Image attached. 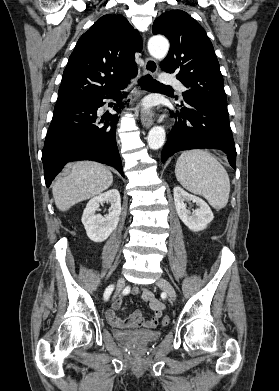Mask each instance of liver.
I'll list each match as a JSON object with an SVG mask.
<instances>
[{
	"mask_svg": "<svg viewBox=\"0 0 279 391\" xmlns=\"http://www.w3.org/2000/svg\"><path fill=\"white\" fill-rule=\"evenodd\" d=\"M112 182V173L102 164L93 161L69 163L53 185L55 205L60 211H67L78 202L102 193Z\"/></svg>",
	"mask_w": 279,
	"mask_h": 391,
	"instance_id": "1",
	"label": "liver"
}]
</instances>
